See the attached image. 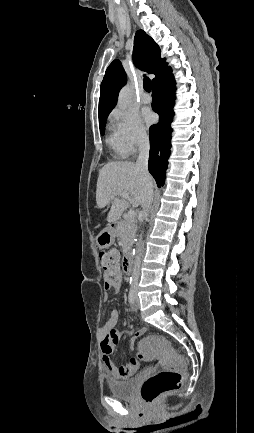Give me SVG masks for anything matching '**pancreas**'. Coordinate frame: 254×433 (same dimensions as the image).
Segmentation results:
<instances>
[{
    "label": "pancreas",
    "mask_w": 254,
    "mask_h": 433,
    "mask_svg": "<svg viewBox=\"0 0 254 433\" xmlns=\"http://www.w3.org/2000/svg\"><path fill=\"white\" fill-rule=\"evenodd\" d=\"M137 227L134 219L121 220L117 225L116 234L123 247L129 246L133 242Z\"/></svg>",
    "instance_id": "pancreas-1"
}]
</instances>
